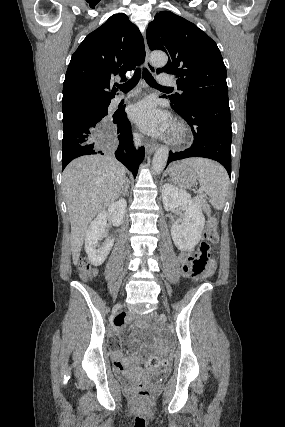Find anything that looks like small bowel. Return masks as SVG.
I'll return each mask as SVG.
<instances>
[{
	"instance_id": "small-bowel-1",
	"label": "small bowel",
	"mask_w": 285,
	"mask_h": 427,
	"mask_svg": "<svg viewBox=\"0 0 285 427\" xmlns=\"http://www.w3.org/2000/svg\"><path fill=\"white\" fill-rule=\"evenodd\" d=\"M180 262L182 264L186 261V255L182 254L180 256ZM129 321L128 317H121L114 322V325L117 328L124 326ZM107 344L111 348V358L115 364V367L120 370H125L129 368L133 363L137 364L140 362L141 350L136 348L132 351L131 359H125L123 357V352L121 349L120 343L112 336L107 337Z\"/></svg>"
}]
</instances>
